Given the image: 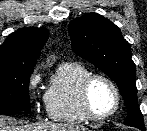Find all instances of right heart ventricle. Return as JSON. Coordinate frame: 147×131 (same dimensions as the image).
Returning <instances> with one entry per match:
<instances>
[{"label": "right heart ventricle", "mask_w": 147, "mask_h": 131, "mask_svg": "<svg viewBox=\"0 0 147 131\" xmlns=\"http://www.w3.org/2000/svg\"><path fill=\"white\" fill-rule=\"evenodd\" d=\"M90 74L81 63H63L58 67L46 93L47 114L51 120L68 124L88 121L80 104V87Z\"/></svg>", "instance_id": "1"}]
</instances>
